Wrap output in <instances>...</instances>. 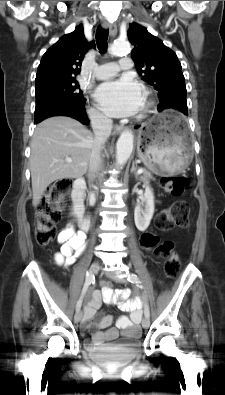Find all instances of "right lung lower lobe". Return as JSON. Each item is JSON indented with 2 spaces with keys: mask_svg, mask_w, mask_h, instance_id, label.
<instances>
[{
  "mask_svg": "<svg viewBox=\"0 0 225 395\" xmlns=\"http://www.w3.org/2000/svg\"><path fill=\"white\" fill-rule=\"evenodd\" d=\"M85 100H63L53 103L39 112H35V124L51 116H68L77 119L83 124L89 120L84 108Z\"/></svg>",
  "mask_w": 225,
  "mask_h": 395,
  "instance_id": "obj_1",
  "label": "right lung lower lobe"
}]
</instances>
